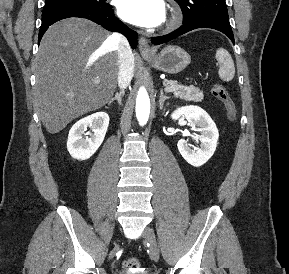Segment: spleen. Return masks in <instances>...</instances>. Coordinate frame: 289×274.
I'll use <instances>...</instances> for the list:
<instances>
[{"label":"spleen","instance_id":"3e777b00","mask_svg":"<svg viewBox=\"0 0 289 274\" xmlns=\"http://www.w3.org/2000/svg\"><path fill=\"white\" fill-rule=\"evenodd\" d=\"M216 59L219 63V77L223 81H231L235 75V67L231 55L227 50L219 48L216 52Z\"/></svg>","mask_w":289,"mask_h":274}]
</instances>
